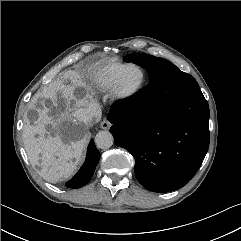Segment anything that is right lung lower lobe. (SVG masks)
Segmentation results:
<instances>
[{
  "label": "right lung lower lobe",
  "instance_id": "obj_1",
  "mask_svg": "<svg viewBox=\"0 0 241 241\" xmlns=\"http://www.w3.org/2000/svg\"><path fill=\"white\" fill-rule=\"evenodd\" d=\"M99 159L100 153L98 149H96L94 141L91 140L83 166L77 174L69 182H67L66 186L69 188H80L86 185L91 180Z\"/></svg>",
  "mask_w": 241,
  "mask_h": 241
}]
</instances>
